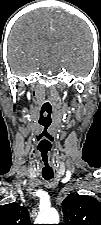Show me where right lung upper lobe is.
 <instances>
[{"label":"right lung upper lobe","instance_id":"right-lung-upper-lobe-1","mask_svg":"<svg viewBox=\"0 0 101 225\" xmlns=\"http://www.w3.org/2000/svg\"><path fill=\"white\" fill-rule=\"evenodd\" d=\"M0 225H31L29 213L18 203H9L0 207Z\"/></svg>","mask_w":101,"mask_h":225}]
</instances>
